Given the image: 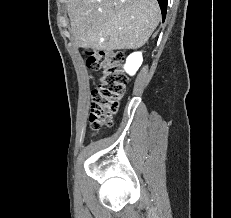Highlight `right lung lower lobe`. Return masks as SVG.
Wrapping results in <instances>:
<instances>
[{"label": "right lung lower lobe", "instance_id": "1", "mask_svg": "<svg viewBox=\"0 0 231 218\" xmlns=\"http://www.w3.org/2000/svg\"><path fill=\"white\" fill-rule=\"evenodd\" d=\"M158 2H159L161 12H162V19L164 21V19L166 17V10H167L168 0H158Z\"/></svg>", "mask_w": 231, "mask_h": 218}]
</instances>
